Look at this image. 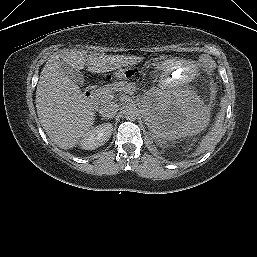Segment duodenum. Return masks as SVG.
I'll return each mask as SVG.
<instances>
[{"label":"duodenum","mask_w":257,"mask_h":257,"mask_svg":"<svg viewBox=\"0 0 257 257\" xmlns=\"http://www.w3.org/2000/svg\"><path fill=\"white\" fill-rule=\"evenodd\" d=\"M96 89L94 86H90L85 91V100L90 107L95 104Z\"/></svg>","instance_id":"410a0bca"}]
</instances>
